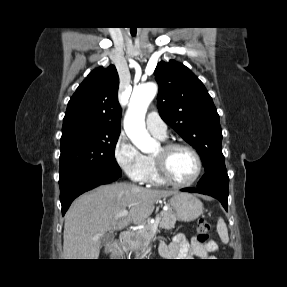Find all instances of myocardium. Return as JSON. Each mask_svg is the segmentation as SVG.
Returning <instances> with one entry per match:
<instances>
[{
  "label": "myocardium",
  "instance_id": "f54148a6",
  "mask_svg": "<svg viewBox=\"0 0 287 287\" xmlns=\"http://www.w3.org/2000/svg\"><path fill=\"white\" fill-rule=\"evenodd\" d=\"M177 149H185L189 151L190 153H192L197 163V170H196L194 177L187 182H178L175 179H173L166 165V157L171 152ZM161 150H162V154L154 155L153 160H154L157 172L160 178L164 182L171 184L173 186H176V187H188V186L193 185L200 178L202 171H203V162H202V158L200 154L194 147L188 144H184V143L171 142V143H166L162 145Z\"/></svg>",
  "mask_w": 287,
  "mask_h": 287
}]
</instances>
